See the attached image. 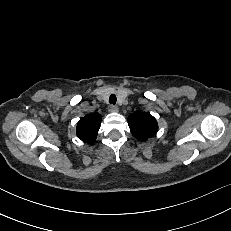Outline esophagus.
Listing matches in <instances>:
<instances>
[{"label": "esophagus", "mask_w": 231, "mask_h": 231, "mask_svg": "<svg viewBox=\"0 0 231 231\" xmlns=\"http://www.w3.org/2000/svg\"><path fill=\"white\" fill-rule=\"evenodd\" d=\"M109 111H110L111 113H116V112H118V107L115 106V105H110V106H109Z\"/></svg>", "instance_id": "esophagus-1"}]
</instances>
